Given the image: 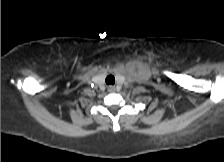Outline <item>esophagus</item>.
Masks as SVG:
<instances>
[{
    "mask_svg": "<svg viewBox=\"0 0 224 162\" xmlns=\"http://www.w3.org/2000/svg\"><path fill=\"white\" fill-rule=\"evenodd\" d=\"M108 91L109 92H115V87L114 86H108Z\"/></svg>",
    "mask_w": 224,
    "mask_h": 162,
    "instance_id": "1",
    "label": "esophagus"
}]
</instances>
